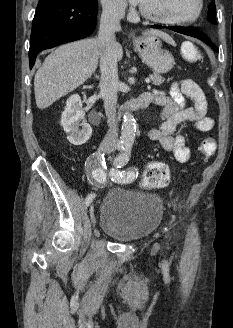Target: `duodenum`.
<instances>
[{
  "label": "duodenum",
  "instance_id": "obj_1",
  "mask_svg": "<svg viewBox=\"0 0 233 328\" xmlns=\"http://www.w3.org/2000/svg\"><path fill=\"white\" fill-rule=\"evenodd\" d=\"M152 102L149 93L140 94L138 97L126 103L125 108L128 111H135L147 107Z\"/></svg>",
  "mask_w": 233,
  "mask_h": 328
}]
</instances>
